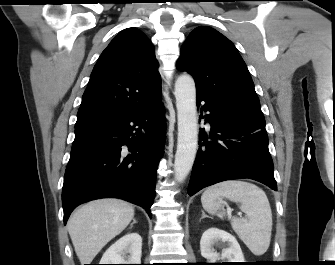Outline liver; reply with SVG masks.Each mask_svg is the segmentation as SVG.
Instances as JSON below:
<instances>
[{"instance_id":"obj_1","label":"liver","mask_w":335,"mask_h":265,"mask_svg":"<svg viewBox=\"0 0 335 265\" xmlns=\"http://www.w3.org/2000/svg\"><path fill=\"white\" fill-rule=\"evenodd\" d=\"M133 218L134 207L119 199H98L78 208L68 220L67 229L81 265L90 264Z\"/></svg>"}]
</instances>
